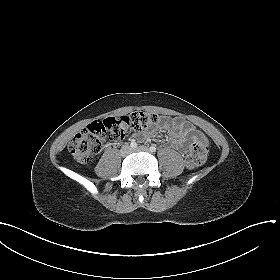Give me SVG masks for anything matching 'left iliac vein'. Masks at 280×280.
Here are the masks:
<instances>
[{"label":"left iliac vein","mask_w":280,"mask_h":280,"mask_svg":"<svg viewBox=\"0 0 280 280\" xmlns=\"http://www.w3.org/2000/svg\"><path fill=\"white\" fill-rule=\"evenodd\" d=\"M134 152L135 151H141V152H149V149L145 146H140L138 147L137 149L133 150Z\"/></svg>","instance_id":"4c4485c4"}]
</instances>
